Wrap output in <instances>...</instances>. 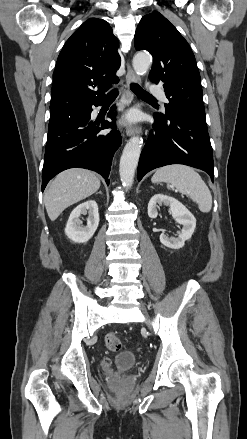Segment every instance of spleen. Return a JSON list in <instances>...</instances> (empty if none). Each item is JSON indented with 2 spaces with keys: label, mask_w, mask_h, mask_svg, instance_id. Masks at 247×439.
I'll return each instance as SVG.
<instances>
[{
  "label": "spleen",
  "mask_w": 247,
  "mask_h": 439,
  "mask_svg": "<svg viewBox=\"0 0 247 439\" xmlns=\"http://www.w3.org/2000/svg\"><path fill=\"white\" fill-rule=\"evenodd\" d=\"M151 181L171 183L182 194L190 196L198 204L201 212H210L212 207L210 190L193 168L181 164L164 166L155 172Z\"/></svg>",
  "instance_id": "1"
}]
</instances>
